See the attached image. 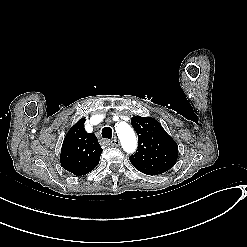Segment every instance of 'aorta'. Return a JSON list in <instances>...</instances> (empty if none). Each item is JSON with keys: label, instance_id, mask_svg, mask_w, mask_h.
Returning <instances> with one entry per match:
<instances>
[{"label": "aorta", "instance_id": "762f6f07", "mask_svg": "<svg viewBox=\"0 0 247 247\" xmlns=\"http://www.w3.org/2000/svg\"><path fill=\"white\" fill-rule=\"evenodd\" d=\"M115 130L124 151L134 152L137 147V138L131 126L126 122H120L115 125Z\"/></svg>", "mask_w": 247, "mask_h": 247}]
</instances>
